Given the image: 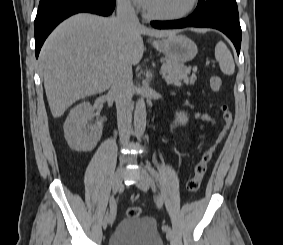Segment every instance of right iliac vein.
Returning a JSON list of instances; mask_svg holds the SVG:
<instances>
[{
    "instance_id": "63e3f726",
    "label": "right iliac vein",
    "mask_w": 283,
    "mask_h": 245,
    "mask_svg": "<svg viewBox=\"0 0 283 245\" xmlns=\"http://www.w3.org/2000/svg\"><path fill=\"white\" fill-rule=\"evenodd\" d=\"M122 165H123V163L117 169L115 176H114V179H113L112 188H113L114 193H117L120 190L121 185H122V180H123V166ZM111 223H112V219L110 217V214L107 213L105 215L104 219H103V222H102L103 229L105 230L107 228L108 224H111Z\"/></svg>"
}]
</instances>
